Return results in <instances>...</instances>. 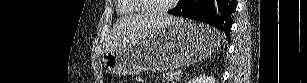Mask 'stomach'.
<instances>
[{
	"label": "stomach",
	"instance_id": "stomach-1",
	"mask_svg": "<svg viewBox=\"0 0 307 83\" xmlns=\"http://www.w3.org/2000/svg\"><path fill=\"white\" fill-rule=\"evenodd\" d=\"M221 42L219 32L210 26L178 19L134 43L106 51L102 59L105 67L118 76L165 71L209 56Z\"/></svg>",
	"mask_w": 307,
	"mask_h": 83
}]
</instances>
